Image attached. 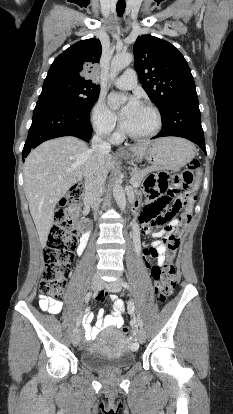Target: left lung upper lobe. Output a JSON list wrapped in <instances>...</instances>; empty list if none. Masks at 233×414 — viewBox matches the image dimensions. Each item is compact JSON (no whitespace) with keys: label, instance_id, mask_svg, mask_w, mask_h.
Returning <instances> with one entry per match:
<instances>
[{"label":"left lung upper lobe","instance_id":"obj_1","mask_svg":"<svg viewBox=\"0 0 233 414\" xmlns=\"http://www.w3.org/2000/svg\"><path fill=\"white\" fill-rule=\"evenodd\" d=\"M133 52L142 87L161 116L175 101L197 96L187 61L171 43L142 35L134 43Z\"/></svg>","mask_w":233,"mask_h":414}]
</instances>
